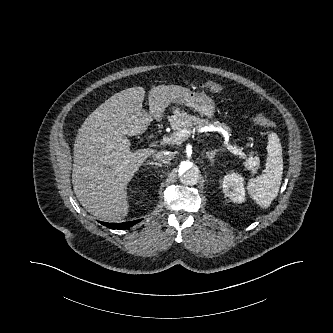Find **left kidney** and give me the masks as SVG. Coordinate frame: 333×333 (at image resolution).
Here are the masks:
<instances>
[{
    "mask_svg": "<svg viewBox=\"0 0 333 333\" xmlns=\"http://www.w3.org/2000/svg\"><path fill=\"white\" fill-rule=\"evenodd\" d=\"M224 194L234 203L245 201V188L243 178L237 173L226 175L222 181Z\"/></svg>",
    "mask_w": 333,
    "mask_h": 333,
    "instance_id": "1",
    "label": "left kidney"
}]
</instances>
